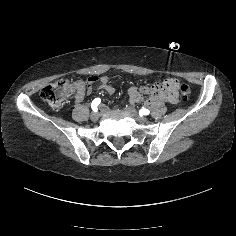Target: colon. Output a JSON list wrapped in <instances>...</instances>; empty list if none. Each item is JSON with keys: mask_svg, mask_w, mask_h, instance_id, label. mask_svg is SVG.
Returning a JSON list of instances; mask_svg holds the SVG:
<instances>
[{"mask_svg": "<svg viewBox=\"0 0 236 236\" xmlns=\"http://www.w3.org/2000/svg\"><path fill=\"white\" fill-rule=\"evenodd\" d=\"M183 99L190 96V87L183 82H175ZM77 83L69 79H61L51 83L41 90V98L54 111H60L67 98L74 92H78Z\"/></svg>", "mask_w": 236, "mask_h": 236, "instance_id": "colon-1", "label": "colon"}]
</instances>
